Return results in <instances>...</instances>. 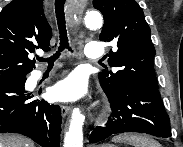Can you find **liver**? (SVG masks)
<instances>
[{"label": "liver", "mask_w": 183, "mask_h": 147, "mask_svg": "<svg viewBox=\"0 0 183 147\" xmlns=\"http://www.w3.org/2000/svg\"><path fill=\"white\" fill-rule=\"evenodd\" d=\"M0 147H34V143L19 135L4 134L0 135Z\"/></svg>", "instance_id": "liver-1"}]
</instances>
